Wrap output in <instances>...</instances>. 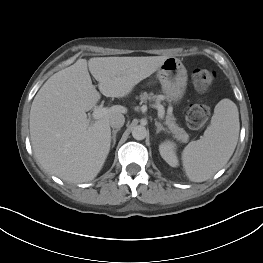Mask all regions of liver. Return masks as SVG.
<instances>
[{
  "label": "liver",
  "instance_id": "liver-1",
  "mask_svg": "<svg viewBox=\"0 0 263 263\" xmlns=\"http://www.w3.org/2000/svg\"><path fill=\"white\" fill-rule=\"evenodd\" d=\"M168 56L78 59L52 75L36 94L30 110V136L41 167L70 183L93 180L110 151V118L127 113L113 105L95 122L87 119L100 99L90 74L106 97L123 98L149 77Z\"/></svg>",
  "mask_w": 263,
  "mask_h": 263
}]
</instances>
